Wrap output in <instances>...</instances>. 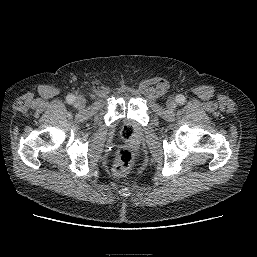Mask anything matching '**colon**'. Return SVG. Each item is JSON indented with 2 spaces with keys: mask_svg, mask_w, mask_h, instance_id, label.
<instances>
[{
  "mask_svg": "<svg viewBox=\"0 0 257 257\" xmlns=\"http://www.w3.org/2000/svg\"><path fill=\"white\" fill-rule=\"evenodd\" d=\"M122 136L132 141L134 137V127L132 124H125L122 128ZM135 160L134 144L131 142L128 145L119 148L114 162V172L118 175L125 174L132 167Z\"/></svg>",
  "mask_w": 257,
  "mask_h": 257,
  "instance_id": "5ec220e1",
  "label": "colon"
}]
</instances>
